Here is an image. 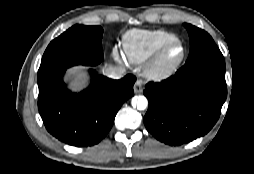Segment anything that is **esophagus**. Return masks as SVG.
Here are the masks:
<instances>
[{"label":"esophagus","instance_id":"esophagus-1","mask_svg":"<svg viewBox=\"0 0 254 174\" xmlns=\"http://www.w3.org/2000/svg\"><path fill=\"white\" fill-rule=\"evenodd\" d=\"M133 89H134V92H135L136 94L141 93L142 90H143L142 80H140V79L137 80V81L135 82V84H134Z\"/></svg>","mask_w":254,"mask_h":174}]
</instances>
